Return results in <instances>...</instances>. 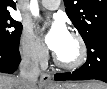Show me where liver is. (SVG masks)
Returning <instances> with one entry per match:
<instances>
[{"mask_svg": "<svg viewBox=\"0 0 107 89\" xmlns=\"http://www.w3.org/2000/svg\"><path fill=\"white\" fill-rule=\"evenodd\" d=\"M79 85L81 89H106V84L101 82H90ZM21 84L18 77H13L5 74L0 75V89H20ZM32 89H38L37 84Z\"/></svg>", "mask_w": 107, "mask_h": 89, "instance_id": "liver-1", "label": "liver"}]
</instances>
